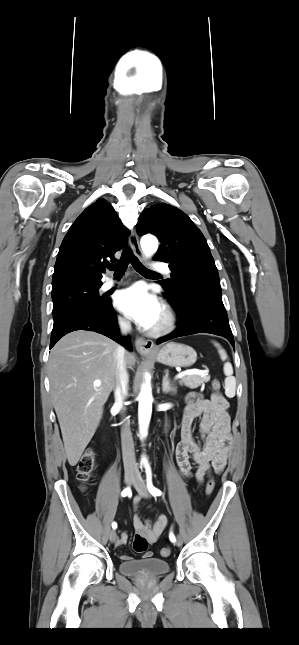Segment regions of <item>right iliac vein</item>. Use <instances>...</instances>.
<instances>
[{
  "label": "right iliac vein",
  "mask_w": 299,
  "mask_h": 645,
  "mask_svg": "<svg viewBox=\"0 0 299 645\" xmlns=\"http://www.w3.org/2000/svg\"><path fill=\"white\" fill-rule=\"evenodd\" d=\"M125 483L127 485L132 484L135 481V475L133 473H126L124 476ZM109 539L111 543H114L117 539V532L115 530H112L109 534Z\"/></svg>",
  "instance_id": "63e3f726"
}]
</instances>
